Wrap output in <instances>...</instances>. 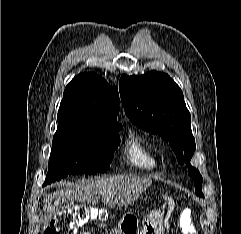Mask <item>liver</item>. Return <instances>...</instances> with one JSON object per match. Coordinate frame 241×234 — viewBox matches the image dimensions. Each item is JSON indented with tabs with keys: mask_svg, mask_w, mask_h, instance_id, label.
Masks as SVG:
<instances>
[{
	"mask_svg": "<svg viewBox=\"0 0 241 234\" xmlns=\"http://www.w3.org/2000/svg\"><path fill=\"white\" fill-rule=\"evenodd\" d=\"M152 184L149 177L133 174L113 175L108 178L82 180L44 196V227H47L57 211H64L73 205L74 200L83 203H96L102 196L104 205L127 206Z\"/></svg>",
	"mask_w": 241,
	"mask_h": 234,
	"instance_id": "6515ba94",
	"label": "liver"
}]
</instances>
